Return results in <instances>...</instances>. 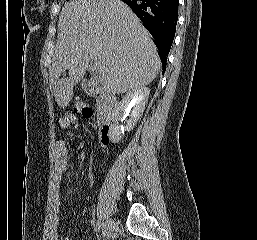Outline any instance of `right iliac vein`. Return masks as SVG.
Instances as JSON below:
<instances>
[{"label":"right iliac vein","mask_w":257,"mask_h":240,"mask_svg":"<svg viewBox=\"0 0 257 240\" xmlns=\"http://www.w3.org/2000/svg\"><path fill=\"white\" fill-rule=\"evenodd\" d=\"M115 227V223L112 219H108L105 224H104V228H103V237L104 238H108L109 235L112 233L113 229Z\"/></svg>","instance_id":"obj_1"}]
</instances>
